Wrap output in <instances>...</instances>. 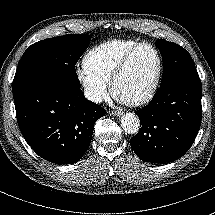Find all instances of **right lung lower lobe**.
<instances>
[{
    "instance_id": "98d812e1",
    "label": "right lung lower lobe",
    "mask_w": 215,
    "mask_h": 215,
    "mask_svg": "<svg viewBox=\"0 0 215 215\" xmlns=\"http://www.w3.org/2000/svg\"><path fill=\"white\" fill-rule=\"evenodd\" d=\"M13 97L25 140L41 158L55 164L78 162L90 146L95 122L105 114L75 87L37 84Z\"/></svg>"
}]
</instances>
